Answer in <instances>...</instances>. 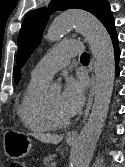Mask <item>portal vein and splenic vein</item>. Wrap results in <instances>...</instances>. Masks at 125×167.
Instances as JSON below:
<instances>
[{
	"instance_id": "1",
	"label": "portal vein and splenic vein",
	"mask_w": 125,
	"mask_h": 167,
	"mask_svg": "<svg viewBox=\"0 0 125 167\" xmlns=\"http://www.w3.org/2000/svg\"><path fill=\"white\" fill-rule=\"evenodd\" d=\"M50 166H51V167H56V162H52V163L50 164Z\"/></svg>"
}]
</instances>
